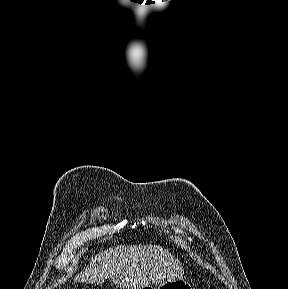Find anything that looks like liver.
Listing matches in <instances>:
<instances>
[{"label":"liver","mask_w":288,"mask_h":289,"mask_svg":"<svg viewBox=\"0 0 288 289\" xmlns=\"http://www.w3.org/2000/svg\"><path fill=\"white\" fill-rule=\"evenodd\" d=\"M183 277L177 258L157 245L116 246L101 251L74 277V282L102 284L105 279L124 289H143Z\"/></svg>","instance_id":"6515ba94"}]
</instances>
